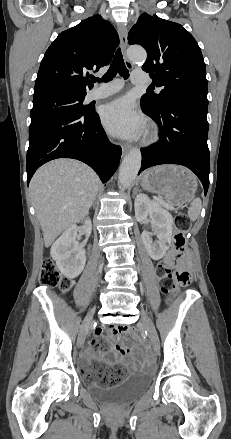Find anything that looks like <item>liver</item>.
Returning a JSON list of instances; mask_svg holds the SVG:
<instances>
[{
	"label": "liver",
	"mask_w": 231,
	"mask_h": 439,
	"mask_svg": "<svg viewBox=\"0 0 231 439\" xmlns=\"http://www.w3.org/2000/svg\"><path fill=\"white\" fill-rule=\"evenodd\" d=\"M99 188L97 174L77 160L56 159L36 171L29 189L46 247L88 214Z\"/></svg>",
	"instance_id": "6515ba94"
}]
</instances>
